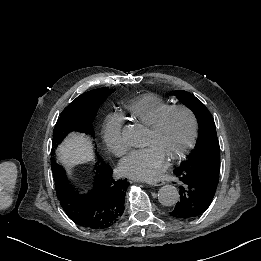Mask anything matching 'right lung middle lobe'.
I'll return each mask as SVG.
<instances>
[{"instance_id": "right-lung-middle-lobe-1", "label": "right lung middle lobe", "mask_w": 261, "mask_h": 261, "mask_svg": "<svg viewBox=\"0 0 261 261\" xmlns=\"http://www.w3.org/2000/svg\"><path fill=\"white\" fill-rule=\"evenodd\" d=\"M114 89L107 87L88 91L73 100L61 113L54 131L52 146L55 149L63 139L72 131L85 133L94 138L92 118L95 116L98 107L103 103ZM54 154V152L52 151ZM51 168L54 178H57L64 170L51 158Z\"/></svg>"}]
</instances>
